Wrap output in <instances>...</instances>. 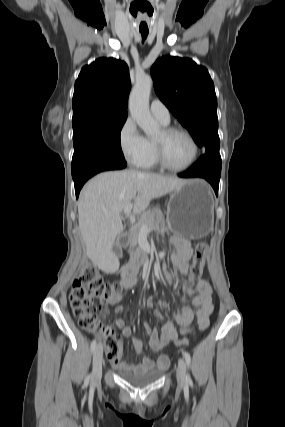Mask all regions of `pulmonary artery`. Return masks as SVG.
Segmentation results:
<instances>
[{
  "mask_svg": "<svg viewBox=\"0 0 285 427\" xmlns=\"http://www.w3.org/2000/svg\"><path fill=\"white\" fill-rule=\"evenodd\" d=\"M150 111L152 115L160 121L162 124H168L170 122V113L168 108L163 102L158 99H154L150 104Z\"/></svg>",
  "mask_w": 285,
  "mask_h": 427,
  "instance_id": "1",
  "label": "pulmonary artery"
}]
</instances>
